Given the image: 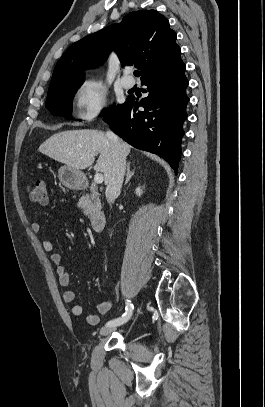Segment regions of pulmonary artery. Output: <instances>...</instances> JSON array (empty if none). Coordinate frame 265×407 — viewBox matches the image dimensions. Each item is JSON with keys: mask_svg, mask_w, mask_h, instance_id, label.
Instances as JSON below:
<instances>
[{"mask_svg": "<svg viewBox=\"0 0 265 407\" xmlns=\"http://www.w3.org/2000/svg\"><path fill=\"white\" fill-rule=\"evenodd\" d=\"M120 82L125 89H131L135 85V81L130 77V70H125Z\"/></svg>", "mask_w": 265, "mask_h": 407, "instance_id": "1", "label": "pulmonary artery"}]
</instances>
